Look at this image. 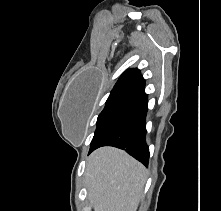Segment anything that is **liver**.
Listing matches in <instances>:
<instances>
[{"mask_svg": "<svg viewBox=\"0 0 221 211\" xmlns=\"http://www.w3.org/2000/svg\"><path fill=\"white\" fill-rule=\"evenodd\" d=\"M86 187L94 211H136L146 181L145 167L114 147L95 150L87 159Z\"/></svg>", "mask_w": 221, "mask_h": 211, "instance_id": "6515ba94", "label": "liver"}]
</instances>
